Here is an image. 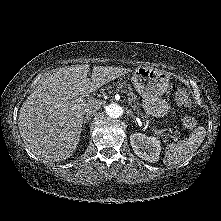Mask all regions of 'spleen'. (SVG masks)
<instances>
[{"label": "spleen", "instance_id": "1", "mask_svg": "<svg viewBox=\"0 0 221 221\" xmlns=\"http://www.w3.org/2000/svg\"><path fill=\"white\" fill-rule=\"evenodd\" d=\"M203 127L196 128L186 140L167 145L163 163L166 165L179 164L190 158L205 138Z\"/></svg>", "mask_w": 221, "mask_h": 221}]
</instances>
